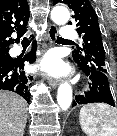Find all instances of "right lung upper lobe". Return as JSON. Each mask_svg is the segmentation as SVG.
Returning <instances> with one entry per match:
<instances>
[{
    "label": "right lung upper lobe",
    "instance_id": "right-lung-upper-lobe-1",
    "mask_svg": "<svg viewBox=\"0 0 117 136\" xmlns=\"http://www.w3.org/2000/svg\"><path fill=\"white\" fill-rule=\"evenodd\" d=\"M29 16L27 0H0V53L8 52L24 35ZM13 32H17V39L11 38Z\"/></svg>",
    "mask_w": 117,
    "mask_h": 136
}]
</instances>
